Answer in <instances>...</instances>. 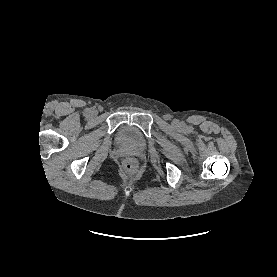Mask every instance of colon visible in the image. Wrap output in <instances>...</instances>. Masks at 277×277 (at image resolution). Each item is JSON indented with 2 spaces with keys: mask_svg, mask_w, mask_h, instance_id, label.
Masks as SVG:
<instances>
[{
  "mask_svg": "<svg viewBox=\"0 0 277 277\" xmlns=\"http://www.w3.org/2000/svg\"><path fill=\"white\" fill-rule=\"evenodd\" d=\"M123 166L124 168L129 172V173H133L135 172L136 168H137V164L136 161L132 158H127L124 162H123Z\"/></svg>",
  "mask_w": 277,
  "mask_h": 277,
  "instance_id": "1",
  "label": "colon"
}]
</instances>
